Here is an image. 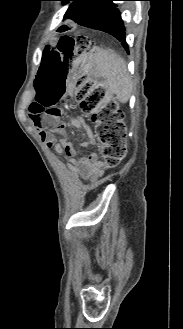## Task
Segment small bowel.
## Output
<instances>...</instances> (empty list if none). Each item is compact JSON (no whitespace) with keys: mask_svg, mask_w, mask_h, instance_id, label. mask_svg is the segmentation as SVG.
I'll use <instances>...</instances> for the list:
<instances>
[{"mask_svg":"<svg viewBox=\"0 0 183 329\" xmlns=\"http://www.w3.org/2000/svg\"><path fill=\"white\" fill-rule=\"evenodd\" d=\"M30 118L33 124L39 129L42 137H45L49 133H54L45 132L42 129L43 126L51 124V122H47L45 119L37 115L30 114ZM77 125L87 134V138L81 142V146L89 147L94 143L93 135L83 121H78ZM56 132H60L64 137L60 140L48 138L46 140V144L49 148H53L56 153L64 155L69 160L70 167L76 170L82 178L89 180L96 179L101 176L104 166L98 161V156L96 154L92 153L88 156H80L77 149L66 137L67 133L64 126L58 127Z\"/></svg>","mask_w":183,"mask_h":329,"instance_id":"1","label":"small bowel"}]
</instances>
